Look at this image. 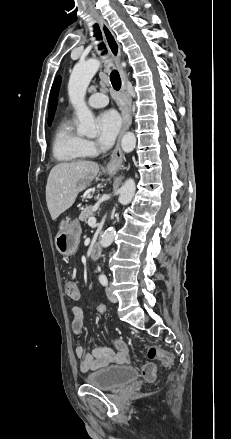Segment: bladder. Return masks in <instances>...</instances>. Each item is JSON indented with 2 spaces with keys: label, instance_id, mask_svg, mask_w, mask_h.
I'll list each match as a JSON object with an SVG mask.
<instances>
[{
  "label": "bladder",
  "instance_id": "bladder-1",
  "mask_svg": "<svg viewBox=\"0 0 231 439\" xmlns=\"http://www.w3.org/2000/svg\"><path fill=\"white\" fill-rule=\"evenodd\" d=\"M137 376V370L132 366H110L87 374L84 381L103 390H118Z\"/></svg>",
  "mask_w": 231,
  "mask_h": 439
}]
</instances>
